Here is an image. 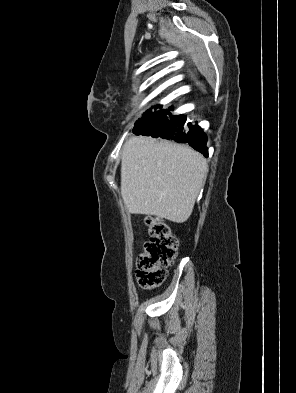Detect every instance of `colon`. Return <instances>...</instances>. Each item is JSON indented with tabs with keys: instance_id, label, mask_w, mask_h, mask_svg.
<instances>
[{
	"instance_id": "1",
	"label": "colon",
	"mask_w": 296,
	"mask_h": 393,
	"mask_svg": "<svg viewBox=\"0 0 296 393\" xmlns=\"http://www.w3.org/2000/svg\"><path fill=\"white\" fill-rule=\"evenodd\" d=\"M145 223L149 238L143 243L137 259V280L139 285L151 290L161 285L167 275V268L177 254V239L166 221L157 216H146Z\"/></svg>"
}]
</instances>
